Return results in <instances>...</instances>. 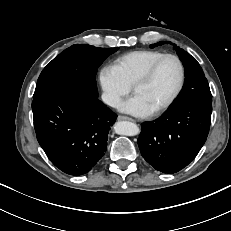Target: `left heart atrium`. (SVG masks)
Returning a JSON list of instances; mask_svg holds the SVG:
<instances>
[{"label": "left heart atrium", "mask_w": 231, "mask_h": 231, "mask_svg": "<svg viewBox=\"0 0 231 231\" xmlns=\"http://www.w3.org/2000/svg\"><path fill=\"white\" fill-rule=\"evenodd\" d=\"M122 112L135 116H148L153 112V109L139 95H134L125 100L119 108Z\"/></svg>", "instance_id": "obj_1"}]
</instances>
